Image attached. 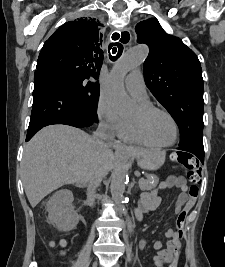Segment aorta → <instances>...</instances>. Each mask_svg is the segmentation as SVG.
<instances>
[{"instance_id": "aorta-1", "label": "aorta", "mask_w": 225, "mask_h": 267, "mask_svg": "<svg viewBox=\"0 0 225 267\" xmlns=\"http://www.w3.org/2000/svg\"><path fill=\"white\" fill-rule=\"evenodd\" d=\"M148 47L145 45H135L120 57L114 64L111 71L110 79L105 88V97L108 102L114 106L119 112L128 110L132 101L128 97L123 79L128 72L141 65L148 55ZM128 172L125 167H118L111 179L110 191L113 200L118 206L121 213L127 216V210L123 205L124 193L127 185ZM127 220L129 217L127 216ZM131 230V226H129Z\"/></svg>"}]
</instances>
